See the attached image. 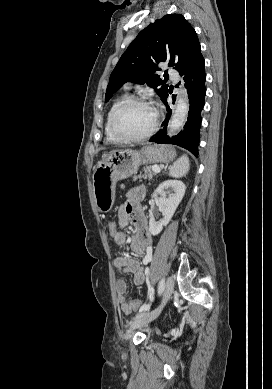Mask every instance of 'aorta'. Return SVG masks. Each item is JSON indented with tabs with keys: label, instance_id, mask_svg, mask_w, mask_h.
<instances>
[{
	"label": "aorta",
	"instance_id": "aorta-1",
	"mask_svg": "<svg viewBox=\"0 0 272 389\" xmlns=\"http://www.w3.org/2000/svg\"><path fill=\"white\" fill-rule=\"evenodd\" d=\"M189 111V103L185 93L178 96L176 108L168 125V135L173 136L178 133L185 124Z\"/></svg>",
	"mask_w": 272,
	"mask_h": 389
}]
</instances>
